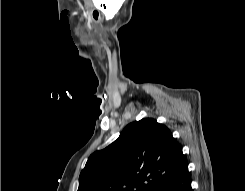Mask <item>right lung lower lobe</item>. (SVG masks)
I'll return each instance as SVG.
<instances>
[{
    "label": "right lung lower lobe",
    "instance_id": "1",
    "mask_svg": "<svg viewBox=\"0 0 245 191\" xmlns=\"http://www.w3.org/2000/svg\"><path fill=\"white\" fill-rule=\"evenodd\" d=\"M156 191H193L188 168L182 171L175 178L162 184Z\"/></svg>",
    "mask_w": 245,
    "mask_h": 191
}]
</instances>
